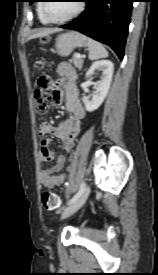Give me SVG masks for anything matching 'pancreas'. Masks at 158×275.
I'll list each match as a JSON object with an SVG mask.
<instances>
[{"mask_svg": "<svg viewBox=\"0 0 158 275\" xmlns=\"http://www.w3.org/2000/svg\"><path fill=\"white\" fill-rule=\"evenodd\" d=\"M73 64L76 68H78L79 70L82 69L83 66V60L81 58H78L75 54L73 56Z\"/></svg>", "mask_w": 158, "mask_h": 275, "instance_id": "1", "label": "pancreas"}]
</instances>
